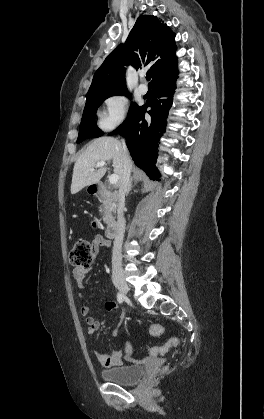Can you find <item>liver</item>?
I'll return each instance as SVG.
<instances>
[{"label": "liver", "mask_w": 264, "mask_h": 419, "mask_svg": "<svg viewBox=\"0 0 264 419\" xmlns=\"http://www.w3.org/2000/svg\"><path fill=\"white\" fill-rule=\"evenodd\" d=\"M113 162L114 174L118 176V186L123 181V149L120 141L113 137H100L89 143L77 159L72 175L71 194L84 187L96 184L106 173V167L91 171L99 162Z\"/></svg>", "instance_id": "obj_1"}]
</instances>
